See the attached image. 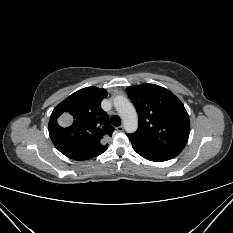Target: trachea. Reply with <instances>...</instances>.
Masks as SVG:
<instances>
[{
	"mask_svg": "<svg viewBox=\"0 0 233 233\" xmlns=\"http://www.w3.org/2000/svg\"><path fill=\"white\" fill-rule=\"evenodd\" d=\"M110 121L114 126H120L121 125V119L117 115L112 116Z\"/></svg>",
	"mask_w": 233,
	"mask_h": 233,
	"instance_id": "3493384b",
	"label": "trachea"
}]
</instances>
